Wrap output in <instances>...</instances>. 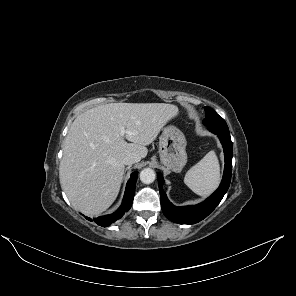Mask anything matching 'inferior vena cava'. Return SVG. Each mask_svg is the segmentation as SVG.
<instances>
[{"label":"inferior vena cava","instance_id":"1","mask_svg":"<svg viewBox=\"0 0 296 296\" xmlns=\"http://www.w3.org/2000/svg\"><path fill=\"white\" fill-rule=\"evenodd\" d=\"M141 160L140 156L137 154H128L123 158V163L125 165H131L137 163Z\"/></svg>","mask_w":296,"mask_h":296}]
</instances>
